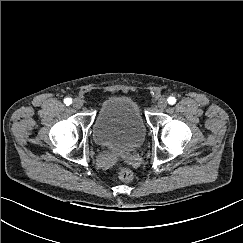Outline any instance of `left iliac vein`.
I'll use <instances>...</instances> for the list:
<instances>
[{
    "label": "left iliac vein",
    "instance_id": "left-iliac-vein-1",
    "mask_svg": "<svg viewBox=\"0 0 243 243\" xmlns=\"http://www.w3.org/2000/svg\"><path fill=\"white\" fill-rule=\"evenodd\" d=\"M157 107L159 109H165L167 107V100L165 98H160L157 102Z\"/></svg>",
    "mask_w": 243,
    "mask_h": 243
}]
</instances>
